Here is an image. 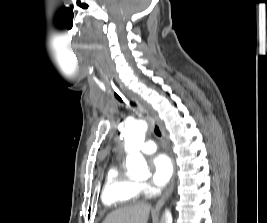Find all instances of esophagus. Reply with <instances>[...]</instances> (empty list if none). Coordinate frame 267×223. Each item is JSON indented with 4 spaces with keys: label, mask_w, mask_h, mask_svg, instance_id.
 Wrapping results in <instances>:
<instances>
[{
    "label": "esophagus",
    "mask_w": 267,
    "mask_h": 223,
    "mask_svg": "<svg viewBox=\"0 0 267 223\" xmlns=\"http://www.w3.org/2000/svg\"><path fill=\"white\" fill-rule=\"evenodd\" d=\"M152 115L154 116V119L158 125V127L160 128V131L162 133V135L165 137V129H164V126H163V123L162 121L159 119V117L157 116V114L152 111ZM173 183V182H172ZM174 189V185L172 184L168 189L167 191L164 193V195L161 197V199L157 202L156 204V209H159L161 208L164 203L166 202V200L169 198V196L171 195L172 191Z\"/></svg>",
    "instance_id": "esophagus-1"
}]
</instances>
